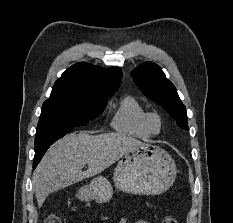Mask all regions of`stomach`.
Segmentation results:
<instances>
[{
  "label": "stomach",
  "mask_w": 233,
  "mask_h": 223,
  "mask_svg": "<svg viewBox=\"0 0 233 223\" xmlns=\"http://www.w3.org/2000/svg\"><path fill=\"white\" fill-rule=\"evenodd\" d=\"M176 165L171 155L159 145L142 143L130 149L118 161L114 173V187L135 195H159L169 189L176 177ZM80 201L106 203L113 195V185L107 177L97 175L79 187Z\"/></svg>",
  "instance_id": "0dacf381"
}]
</instances>
